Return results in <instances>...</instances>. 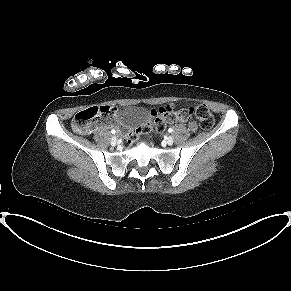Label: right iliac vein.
<instances>
[{
	"instance_id": "1",
	"label": "right iliac vein",
	"mask_w": 291,
	"mask_h": 291,
	"mask_svg": "<svg viewBox=\"0 0 291 291\" xmlns=\"http://www.w3.org/2000/svg\"><path fill=\"white\" fill-rule=\"evenodd\" d=\"M116 144H117V138H116V136H113L111 138V145L115 146Z\"/></svg>"
}]
</instances>
